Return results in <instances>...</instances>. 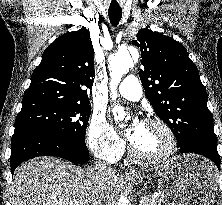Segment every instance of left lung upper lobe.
I'll return each mask as SVG.
<instances>
[{
  "label": "left lung upper lobe",
  "mask_w": 222,
  "mask_h": 205,
  "mask_svg": "<svg viewBox=\"0 0 222 205\" xmlns=\"http://www.w3.org/2000/svg\"><path fill=\"white\" fill-rule=\"evenodd\" d=\"M136 37L132 43L141 50L145 95L173 131L178 147L195 138L217 144L206 89L184 46L147 28Z\"/></svg>",
  "instance_id": "left-lung-upper-lobe-1"
}]
</instances>
